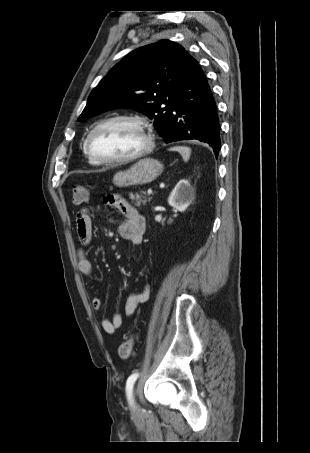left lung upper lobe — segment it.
I'll use <instances>...</instances> for the list:
<instances>
[{
  "mask_svg": "<svg viewBox=\"0 0 310 453\" xmlns=\"http://www.w3.org/2000/svg\"><path fill=\"white\" fill-rule=\"evenodd\" d=\"M191 59L182 46L169 40L130 52L92 90L78 120L129 106L154 119L160 133L187 77Z\"/></svg>",
  "mask_w": 310,
  "mask_h": 453,
  "instance_id": "5c2ea615",
  "label": "left lung upper lobe"
}]
</instances>
